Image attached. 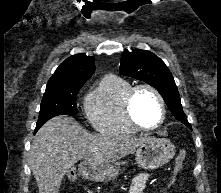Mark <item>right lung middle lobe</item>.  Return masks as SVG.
I'll list each match as a JSON object with an SVG mask.
<instances>
[{
  "instance_id": "1",
  "label": "right lung middle lobe",
  "mask_w": 221,
  "mask_h": 193,
  "mask_svg": "<svg viewBox=\"0 0 221 193\" xmlns=\"http://www.w3.org/2000/svg\"><path fill=\"white\" fill-rule=\"evenodd\" d=\"M82 86L46 89L41 102L37 125L41 126L57 115H76L77 94Z\"/></svg>"
}]
</instances>
